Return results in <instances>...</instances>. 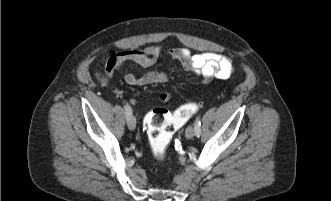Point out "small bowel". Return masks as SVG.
Here are the masks:
<instances>
[{"mask_svg":"<svg viewBox=\"0 0 331 201\" xmlns=\"http://www.w3.org/2000/svg\"><path fill=\"white\" fill-rule=\"evenodd\" d=\"M160 49L157 47H147L144 49L125 50L112 57L107 64V71H120L123 64L133 62L142 67L152 66L160 57ZM169 56L181 63L182 67L209 82L213 79H227L233 72L231 60L216 52L192 53L187 48L173 49L169 51ZM125 82L131 86H145L161 83L167 80L165 71H152L138 77L133 73L124 75ZM161 99L167 101L169 95L162 94Z\"/></svg>","mask_w":331,"mask_h":201,"instance_id":"c3829d8e","label":"small bowel"}]
</instances>
